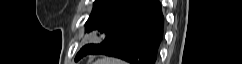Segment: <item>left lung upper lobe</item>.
<instances>
[{
	"label": "left lung upper lobe",
	"instance_id": "obj_1",
	"mask_svg": "<svg viewBox=\"0 0 242 64\" xmlns=\"http://www.w3.org/2000/svg\"><path fill=\"white\" fill-rule=\"evenodd\" d=\"M119 1L120 0H95L92 13L85 24L86 31L90 32L95 30V26L99 19Z\"/></svg>",
	"mask_w": 242,
	"mask_h": 64
}]
</instances>
